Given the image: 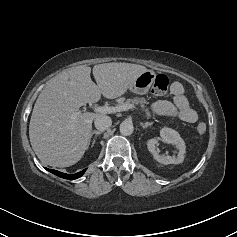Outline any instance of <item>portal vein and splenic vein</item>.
Wrapping results in <instances>:
<instances>
[{
	"instance_id": "portal-vein-and-splenic-vein-1",
	"label": "portal vein and splenic vein",
	"mask_w": 237,
	"mask_h": 237,
	"mask_svg": "<svg viewBox=\"0 0 237 237\" xmlns=\"http://www.w3.org/2000/svg\"><path fill=\"white\" fill-rule=\"evenodd\" d=\"M133 107H134V105L129 104V103H124V104L117 105V106H99V107L94 108V112L103 113V114H107V113L112 114V113H116V112L126 111L129 109H132ZM79 114H80V112L73 113L72 118L74 119Z\"/></svg>"
}]
</instances>
